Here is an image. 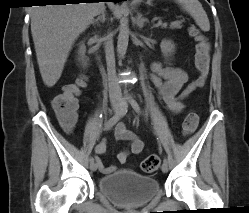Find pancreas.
Returning a JSON list of instances; mask_svg holds the SVG:
<instances>
[{"label":"pancreas","instance_id":"obj_1","mask_svg":"<svg viewBox=\"0 0 249 213\" xmlns=\"http://www.w3.org/2000/svg\"><path fill=\"white\" fill-rule=\"evenodd\" d=\"M181 24H182L181 21L172 22L171 25H170V28L171 29H180L182 27Z\"/></svg>","mask_w":249,"mask_h":213}]
</instances>
